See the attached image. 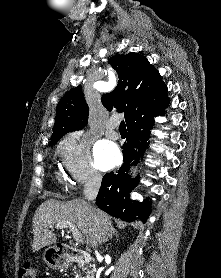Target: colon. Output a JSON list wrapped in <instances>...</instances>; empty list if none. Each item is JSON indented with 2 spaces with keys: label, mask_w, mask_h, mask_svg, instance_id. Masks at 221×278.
<instances>
[{
  "label": "colon",
  "mask_w": 221,
  "mask_h": 278,
  "mask_svg": "<svg viewBox=\"0 0 221 278\" xmlns=\"http://www.w3.org/2000/svg\"><path fill=\"white\" fill-rule=\"evenodd\" d=\"M18 278H38V274L31 265L26 264L19 269Z\"/></svg>",
  "instance_id": "5ec220e1"
}]
</instances>
